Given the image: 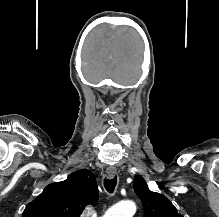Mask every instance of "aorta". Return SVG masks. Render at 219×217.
Wrapping results in <instances>:
<instances>
[{
    "label": "aorta",
    "instance_id": "obj_1",
    "mask_svg": "<svg viewBox=\"0 0 219 217\" xmlns=\"http://www.w3.org/2000/svg\"><path fill=\"white\" fill-rule=\"evenodd\" d=\"M136 205L133 201H122L106 211L103 217H133Z\"/></svg>",
    "mask_w": 219,
    "mask_h": 217
}]
</instances>
